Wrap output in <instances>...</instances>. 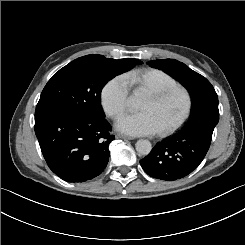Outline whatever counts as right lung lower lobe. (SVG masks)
Wrapping results in <instances>:
<instances>
[{"label":"right lung lower lobe","mask_w":245,"mask_h":245,"mask_svg":"<svg viewBox=\"0 0 245 245\" xmlns=\"http://www.w3.org/2000/svg\"><path fill=\"white\" fill-rule=\"evenodd\" d=\"M110 124L70 113L35 117V133L49 168L67 182L79 183L100 175L114 140Z\"/></svg>","instance_id":"right-lung-lower-lobe-1"}]
</instances>
